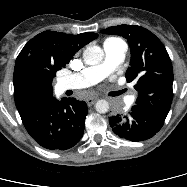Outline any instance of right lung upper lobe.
Masks as SVG:
<instances>
[{"instance_id": "right-lung-upper-lobe-1", "label": "right lung upper lobe", "mask_w": 187, "mask_h": 187, "mask_svg": "<svg viewBox=\"0 0 187 187\" xmlns=\"http://www.w3.org/2000/svg\"><path fill=\"white\" fill-rule=\"evenodd\" d=\"M97 36L92 32L70 35L44 31L27 42L16 59L13 76L15 104L20 115L53 97L52 86H33L30 76L60 70Z\"/></svg>"}]
</instances>
